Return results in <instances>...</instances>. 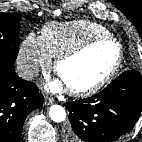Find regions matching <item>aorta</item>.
I'll use <instances>...</instances> for the list:
<instances>
[{
    "label": "aorta",
    "mask_w": 142,
    "mask_h": 142,
    "mask_svg": "<svg viewBox=\"0 0 142 142\" xmlns=\"http://www.w3.org/2000/svg\"><path fill=\"white\" fill-rule=\"evenodd\" d=\"M49 117L52 121L57 123L64 121L66 117L64 108L60 105L51 106L49 109Z\"/></svg>",
    "instance_id": "aorta-1"
}]
</instances>
